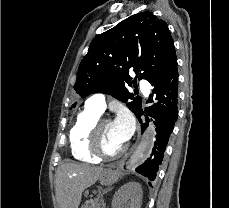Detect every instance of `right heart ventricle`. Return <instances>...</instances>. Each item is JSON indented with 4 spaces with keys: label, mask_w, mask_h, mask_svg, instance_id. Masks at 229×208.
Instances as JSON below:
<instances>
[{
    "label": "right heart ventricle",
    "mask_w": 229,
    "mask_h": 208,
    "mask_svg": "<svg viewBox=\"0 0 229 208\" xmlns=\"http://www.w3.org/2000/svg\"><path fill=\"white\" fill-rule=\"evenodd\" d=\"M99 114L85 107L80 112L69 132V147L72 158L80 163H94L99 158H94V153H88L89 144L92 143L89 130L99 118Z\"/></svg>",
    "instance_id": "right-heart-ventricle-1"
}]
</instances>
